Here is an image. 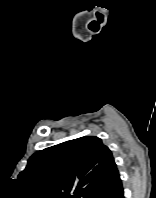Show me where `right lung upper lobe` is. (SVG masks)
Here are the masks:
<instances>
[{"instance_id":"right-lung-upper-lobe-1","label":"right lung upper lobe","mask_w":156,"mask_h":198,"mask_svg":"<svg viewBox=\"0 0 156 198\" xmlns=\"http://www.w3.org/2000/svg\"><path fill=\"white\" fill-rule=\"evenodd\" d=\"M18 180L40 198H111L122 188L111 151L95 136L36 152Z\"/></svg>"}]
</instances>
